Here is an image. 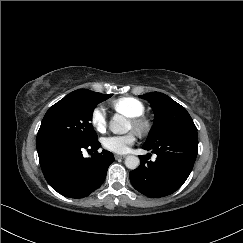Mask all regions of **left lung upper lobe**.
Wrapping results in <instances>:
<instances>
[{
    "mask_svg": "<svg viewBox=\"0 0 243 243\" xmlns=\"http://www.w3.org/2000/svg\"><path fill=\"white\" fill-rule=\"evenodd\" d=\"M139 97L148 100L155 112L154 123L145 145L153 146L185 133L197 132L187 110L167 95L152 92Z\"/></svg>",
    "mask_w": 243,
    "mask_h": 243,
    "instance_id": "5c2ea615",
    "label": "left lung upper lobe"
}]
</instances>
